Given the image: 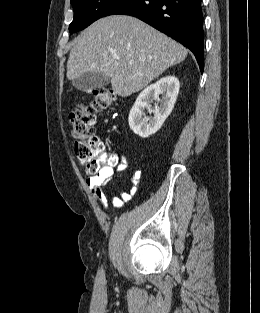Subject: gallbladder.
<instances>
[{
	"mask_svg": "<svg viewBox=\"0 0 260 313\" xmlns=\"http://www.w3.org/2000/svg\"><path fill=\"white\" fill-rule=\"evenodd\" d=\"M110 78L103 73L88 72L72 81V85L80 91L101 88L110 83Z\"/></svg>",
	"mask_w": 260,
	"mask_h": 313,
	"instance_id": "bac80fb5",
	"label": "gallbladder"
}]
</instances>
